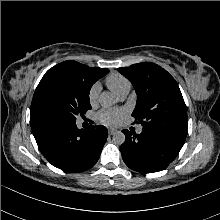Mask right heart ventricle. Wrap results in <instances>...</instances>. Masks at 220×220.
Listing matches in <instances>:
<instances>
[{
	"label": "right heart ventricle",
	"instance_id": "right-heart-ventricle-1",
	"mask_svg": "<svg viewBox=\"0 0 220 220\" xmlns=\"http://www.w3.org/2000/svg\"><path fill=\"white\" fill-rule=\"evenodd\" d=\"M106 84L110 90L119 95L121 92L130 89L129 80L120 74H111L106 78Z\"/></svg>",
	"mask_w": 220,
	"mask_h": 220
}]
</instances>
